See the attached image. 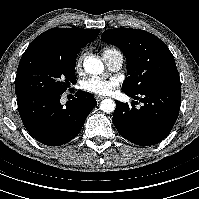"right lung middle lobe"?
Wrapping results in <instances>:
<instances>
[{
	"label": "right lung middle lobe",
	"mask_w": 199,
	"mask_h": 199,
	"mask_svg": "<svg viewBox=\"0 0 199 199\" xmlns=\"http://www.w3.org/2000/svg\"><path fill=\"white\" fill-rule=\"evenodd\" d=\"M76 57L63 56L46 48H27L17 69L16 95L63 94L71 83H76Z\"/></svg>",
	"instance_id": "obj_1"
}]
</instances>
